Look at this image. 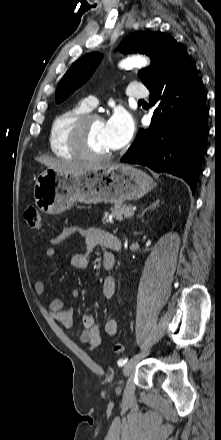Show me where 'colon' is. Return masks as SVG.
<instances>
[{"label":"colon","instance_id":"5ec220e1","mask_svg":"<svg viewBox=\"0 0 221 440\" xmlns=\"http://www.w3.org/2000/svg\"><path fill=\"white\" fill-rule=\"evenodd\" d=\"M25 219H26V222L30 228L37 229V230L41 229L42 219H41V215H40V212L37 207H35V206L28 207L25 211ZM123 349H124V347L120 343H115L112 346L113 352L117 353V354L122 353Z\"/></svg>","mask_w":221,"mask_h":440}]
</instances>
